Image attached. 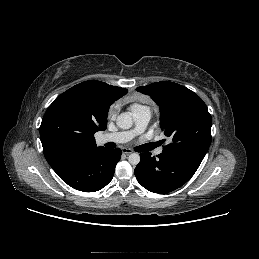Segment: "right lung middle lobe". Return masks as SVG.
I'll return each mask as SVG.
<instances>
[{
  "instance_id": "dd1d6c3e",
  "label": "right lung middle lobe",
  "mask_w": 259,
  "mask_h": 259,
  "mask_svg": "<svg viewBox=\"0 0 259 259\" xmlns=\"http://www.w3.org/2000/svg\"><path fill=\"white\" fill-rule=\"evenodd\" d=\"M77 126L69 119L56 118L44 129L45 139L54 146H68L77 138Z\"/></svg>"
}]
</instances>
